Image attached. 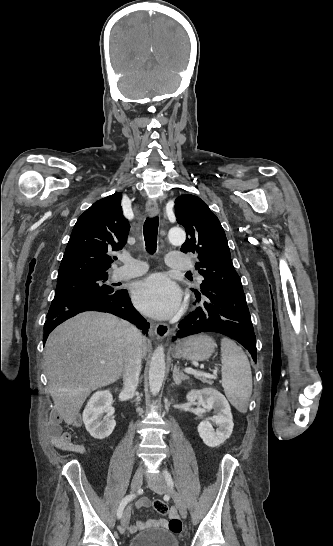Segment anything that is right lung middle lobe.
I'll list each match as a JSON object with an SVG mask.
<instances>
[{"instance_id": "right-lung-middle-lobe-1", "label": "right lung middle lobe", "mask_w": 333, "mask_h": 546, "mask_svg": "<svg viewBox=\"0 0 333 546\" xmlns=\"http://www.w3.org/2000/svg\"><path fill=\"white\" fill-rule=\"evenodd\" d=\"M107 279L108 273L80 275L58 279L55 297L79 293L111 295L115 291L112 287L105 284Z\"/></svg>"}]
</instances>
